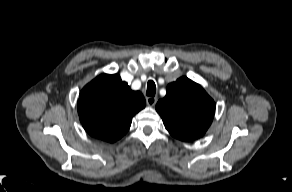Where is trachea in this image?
I'll use <instances>...</instances> for the list:
<instances>
[{"instance_id":"3493384b","label":"trachea","mask_w":292,"mask_h":192,"mask_svg":"<svg viewBox=\"0 0 292 192\" xmlns=\"http://www.w3.org/2000/svg\"><path fill=\"white\" fill-rule=\"evenodd\" d=\"M156 93V85L155 82L153 80H149L147 83V92L146 94L150 97L155 96Z\"/></svg>"}]
</instances>
